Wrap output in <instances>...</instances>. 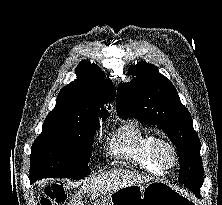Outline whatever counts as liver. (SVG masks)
Returning <instances> with one entry per match:
<instances>
[{
	"label": "liver",
	"instance_id": "6515ba94",
	"mask_svg": "<svg viewBox=\"0 0 222 205\" xmlns=\"http://www.w3.org/2000/svg\"><path fill=\"white\" fill-rule=\"evenodd\" d=\"M150 180L151 179L148 177L141 176L128 170H111L86 180L69 205H84L82 196L85 193H90L91 199L94 200L120 188L139 185Z\"/></svg>",
	"mask_w": 222,
	"mask_h": 205
}]
</instances>
